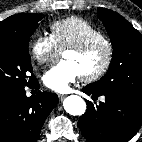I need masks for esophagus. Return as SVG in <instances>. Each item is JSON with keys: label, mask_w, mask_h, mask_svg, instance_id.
I'll return each mask as SVG.
<instances>
[{"label": "esophagus", "mask_w": 142, "mask_h": 142, "mask_svg": "<svg viewBox=\"0 0 142 142\" xmlns=\"http://www.w3.org/2000/svg\"><path fill=\"white\" fill-rule=\"evenodd\" d=\"M58 97H59V99L62 101V100L65 98V95L59 94Z\"/></svg>", "instance_id": "34e87169"}]
</instances>
